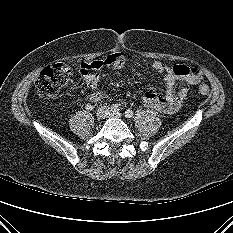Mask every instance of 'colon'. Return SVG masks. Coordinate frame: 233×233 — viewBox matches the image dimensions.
<instances>
[{
	"instance_id": "1",
	"label": "colon",
	"mask_w": 233,
	"mask_h": 233,
	"mask_svg": "<svg viewBox=\"0 0 233 233\" xmlns=\"http://www.w3.org/2000/svg\"><path fill=\"white\" fill-rule=\"evenodd\" d=\"M175 72L179 75L199 76L200 72L196 68L187 66L177 67ZM70 69L64 64H54L44 68L36 79V87L39 94L47 99L57 96L59 90L68 80ZM200 95L206 96L209 88L205 84H200L197 89Z\"/></svg>"
}]
</instances>
